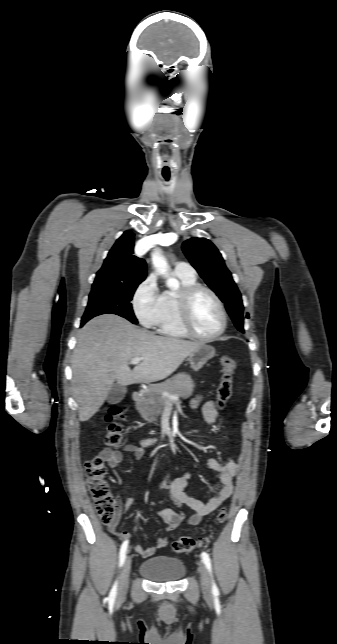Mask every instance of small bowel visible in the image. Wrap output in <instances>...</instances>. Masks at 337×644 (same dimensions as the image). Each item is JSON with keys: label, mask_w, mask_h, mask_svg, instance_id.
I'll use <instances>...</instances> for the list:
<instances>
[{"label": "small bowel", "mask_w": 337, "mask_h": 644, "mask_svg": "<svg viewBox=\"0 0 337 644\" xmlns=\"http://www.w3.org/2000/svg\"><path fill=\"white\" fill-rule=\"evenodd\" d=\"M191 407L194 409L198 407L201 408L205 422L208 425H212L216 422L218 412L213 401H204L203 396L198 395L191 401ZM123 452L133 454L136 459H142L145 455L144 447L134 443H127L123 447L122 451L112 450L109 448L103 449L100 452V458H102L110 468L115 469L122 462ZM207 465L211 473L218 478L221 484L218 496L212 497L207 502H203L186 494L185 488L189 479L192 477L190 471H186L181 477L173 480H164L160 483L161 488L169 490L172 499L178 506H187L194 511L193 515L186 517L183 512H176L167 507L158 510L157 515L166 523V531L175 530L184 521L190 525L198 524L203 517L215 511L233 494V477L238 469L237 463L232 460L220 463L216 459L210 458L207 461ZM133 505L134 500L131 497H127L124 503L119 507L115 520L108 525L110 532L120 540L127 541L130 537V533L127 530H121L119 528V520L125 512L133 507ZM168 543V537L159 538L154 546L144 548L141 545H135L134 550L143 558H148L154 555L157 549L167 546Z\"/></svg>", "instance_id": "obj_1"}]
</instances>
